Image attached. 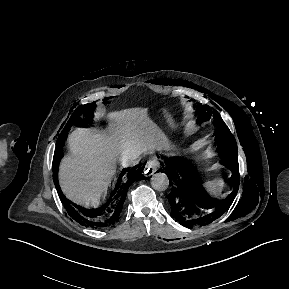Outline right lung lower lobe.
Here are the masks:
<instances>
[{
    "label": "right lung lower lobe",
    "instance_id": "1",
    "mask_svg": "<svg viewBox=\"0 0 289 289\" xmlns=\"http://www.w3.org/2000/svg\"><path fill=\"white\" fill-rule=\"evenodd\" d=\"M66 136L67 132L60 134L57 140L56 151L54 153L53 159V179L58 195L62 200L64 207L66 208L68 214L73 218V220L83 226L95 229L113 227L119 221L128 188L133 182L141 180V173L144 169V166L137 165L131 169H123L116 182L112 194L99 207H80L66 199L58 183V164L62 156V145Z\"/></svg>",
    "mask_w": 289,
    "mask_h": 289
}]
</instances>
